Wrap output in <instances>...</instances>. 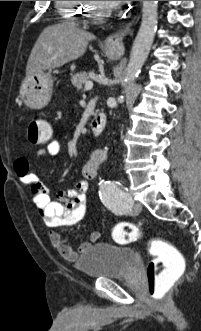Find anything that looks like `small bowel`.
<instances>
[{"mask_svg":"<svg viewBox=\"0 0 201 331\" xmlns=\"http://www.w3.org/2000/svg\"><path fill=\"white\" fill-rule=\"evenodd\" d=\"M60 152V142L53 140L45 148L38 150L36 155L56 157ZM106 158L105 150H94L82 168V179L72 188L59 192L56 199L51 198L48 188L30 171L27 158H18L14 162V170L18 178L29 185L33 202L45 226L55 229L74 226L84 218L87 210V181L96 176L99 166ZM49 236L57 251L67 260L74 261L92 246V242L99 238V233H94L91 241L80 244L76 249L71 246L72 237H63L55 230H51Z\"/></svg>","mask_w":201,"mask_h":331,"instance_id":"small-bowel-1","label":"small bowel"}]
</instances>
